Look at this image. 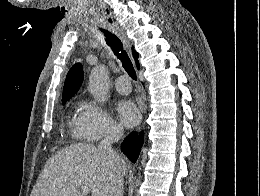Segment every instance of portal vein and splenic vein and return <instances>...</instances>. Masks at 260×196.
I'll return each instance as SVG.
<instances>
[{
  "mask_svg": "<svg viewBox=\"0 0 260 196\" xmlns=\"http://www.w3.org/2000/svg\"><path fill=\"white\" fill-rule=\"evenodd\" d=\"M81 188L83 194H90L91 190L88 188V186H79Z\"/></svg>",
  "mask_w": 260,
  "mask_h": 196,
  "instance_id": "portal-vein-and-splenic-vein-1",
  "label": "portal vein and splenic vein"
}]
</instances>
